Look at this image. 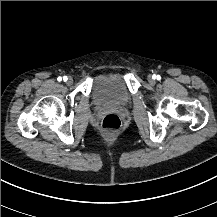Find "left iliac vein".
Returning a JSON list of instances; mask_svg holds the SVG:
<instances>
[{"instance_id": "1", "label": "left iliac vein", "mask_w": 217, "mask_h": 217, "mask_svg": "<svg viewBox=\"0 0 217 217\" xmlns=\"http://www.w3.org/2000/svg\"><path fill=\"white\" fill-rule=\"evenodd\" d=\"M148 81H149V83H150L151 85H154V84H155V79H154L153 76H150V77L148 78Z\"/></svg>"}]
</instances>
